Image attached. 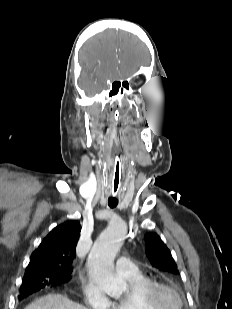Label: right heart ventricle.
Returning <instances> with one entry per match:
<instances>
[{"label":"right heart ventricle","instance_id":"1","mask_svg":"<svg viewBox=\"0 0 232 309\" xmlns=\"http://www.w3.org/2000/svg\"><path fill=\"white\" fill-rule=\"evenodd\" d=\"M130 286V292L123 298L112 302L111 309H149L142 300L144 289L152 280L139 272L130 277H125Z\"/></svg>","mask_w":232,"mask_h":309}]
</instances>
